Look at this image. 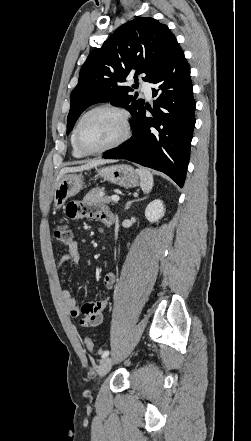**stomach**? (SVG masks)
<instances>
[{
    "instance_id": "1",
    "label": "stomach",
    "mask_w": 251,
    "mask_h": 441,
    "mask_svg": "<svg viewBox=\"0 0 251 441\" xmlns=\"http://www.w3.org/2000/svg\"><path fill=\"white\" fill-rule=\"evenodd\" d=\"M97 174L106 181L124 188L139 185V175L130 165L119 164L97 169ZM82 174H65L57 182L54 192V206L61 208L68 198L76 195L83 187Z\"/></svg>"
}]
</instances>
